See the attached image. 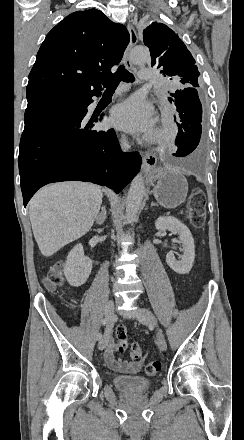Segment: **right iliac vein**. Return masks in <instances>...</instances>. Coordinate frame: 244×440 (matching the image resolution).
I'll list each match as a JSON object with an SVG mask.
<instances>
[{"label":"right iliac vein","mask_w":244,"mask_h":440,"mask_svg":"<svg viewBox=\"0 0 244 440\" xmlns=\"http://www.w3.org/2000/svg\"><path fill=\"white\" fill-rule=\"evenodd\" d=\"M105 317L108 319V325L106 327L104 337L99 342L98 348L99 350H103L107 344L109 343L111 339V333H112V323L114 321V301L109 300L106 303L105 309H104Z\"/></svg>","instance_id":"obj_1"}]
</instances>
